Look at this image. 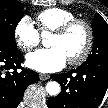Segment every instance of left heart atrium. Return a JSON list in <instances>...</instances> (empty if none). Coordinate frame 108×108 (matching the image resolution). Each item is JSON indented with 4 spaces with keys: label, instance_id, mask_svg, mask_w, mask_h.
I'll return each mask as SVG.
<instances>
[{
    "label": "left heart atrium",
    "instance_id": "left-heart-atrium-1",
    "mask_svg": "<svg viewBox=\"0 0 108 108\" xmlns=\"http://www.w3.org/2000/svg\"><path fill=\"white\" fill-rule=\"evenodd\" d=\"M67 61L66 54L57 46L39 49L27 56V65L42 73L59 71L65 67Z\"/></svg>",
    "mask_w": 108,
    "mask_h": 108
}]
</instances>
